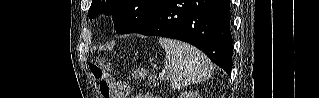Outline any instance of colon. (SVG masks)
<instances>
[{"label": "colon", "mask_w": 319, "mask_h": 98, "mask_svg": "<svg viewBox=\"0 0 319 98\" xmlns=\"http://www.w3.org/2000/svg\"><path fill=\"white\" fill-rule=\"evenodd\" d=\"M106 66L107 63L103 62ZM90 71L97 82L99 91L104 98H111L112 97V89H111V81L109 77L106 75V72L102 65L92 64L90 66ZM134 77L137 79L147 78V87L154 88L157 84V79L153 74H148L144 69H138L134 73Z\"/></svg>", "instance_id": "5ec220e1"}]
</instances>
